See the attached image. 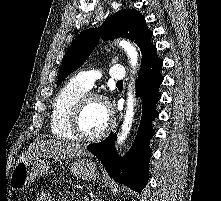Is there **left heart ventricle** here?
Returning a JSON list of instances; mask_svg holds the SVG:
<instances>
[{
	"label": "left heart ventricle",
	"mask_w": 221,
	"mask_h": 201,
	"mask_svg": "<svg viewBox=\"0 0 221 201\" xmlns=\"http://www.w3.org/2000/svg\"><path fill=\"white\" fill-rule=\"evenodd\" d=\"M109 122L106 107L99 101H91L81 118V129L86 135H96L104 130Z\"/></svg>",
	"instance_id": "left-heart-ventricle-1"
}]
</instances>
